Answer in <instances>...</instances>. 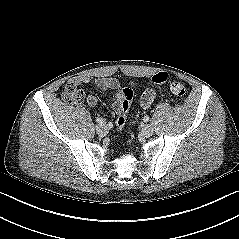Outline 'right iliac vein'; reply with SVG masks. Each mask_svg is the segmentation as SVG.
Here are the masks:
<instances>
[{"instance_id":"right-iliac-vein-1","label":"right iliac vein","mask_w":239,"mask_h":239,"mask_svg":"<svg viewBox=\"0 0 239 239\" xmlns=\"http://www.w3.org/2000/svg\"><path fill=\"white\" fill-rule=\"evenodd\" d=\"M96 132L99 136H104L108 132V127L105 124H99L96 126Z\"/></svg>"}]
</instances>
